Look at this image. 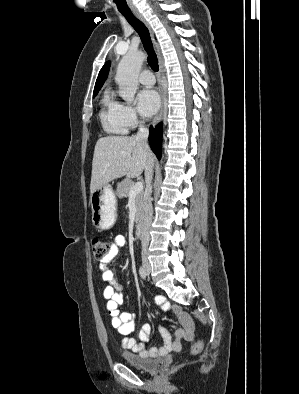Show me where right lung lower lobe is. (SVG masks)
Here are the masks:
<instances>
[{"label": "right lung lower lobe", "mask_w": 299, "mask_h": 394, "mask_svg": "<svg viewBox=\"0 0 299 394\" xmlns=\"http://www.w3.org/2000/svg\"><path fill=\"white\" fill-rule=\"evenodd\" d=\"M161 137H162V126L157 125L155 129L150 128L149 143L151 149L156 154L158 159L161 157Z\"/></svg>", "instance_id": "right-lung-lower-lobe-1"}]
</instances>
